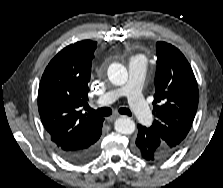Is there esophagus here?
<instances>
[{
	"mask_svg": "<svg viewBox=\"0 0 223 188\" xmlns=\"http://www.w3.org/2000/svg\"><path fill=\"white\" fill-rule=\"evenodd\" d=\"M118 117H121V115H119V114H115V115H113V116H111V117H108L107 118V121L108 122H113L116 118H118Z\"/></svg>",
	"mask_w": 223,
	"mask_h": 188,
	"instance_id": "1",
	"label": "esophagus"
}]
</instances>
